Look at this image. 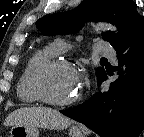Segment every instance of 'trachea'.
Segmentation results:
<instances>
[{
    "instance_id": "1",
    "label": "trachea",
    "mask_w": 144,
    "mask_h": 137,
    "mask_svg": "<svg viewBox=\"0 0 144 137\" xmlns=\"http://www.w3.org/2000/svg\"><path fill=\"white\" fill-rule=\"evenodd\" d=\"M101 61H107V59L103 57V58H101Z\"/></svg>"
}]
</instances>
